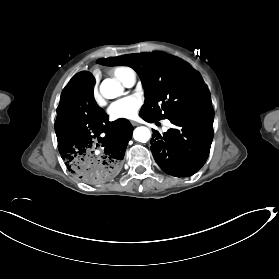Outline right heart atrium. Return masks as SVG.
I'll return each instance as SVG.
<instances>
[{
	"instance_id": "right-heart-atrium-1",
	"label": "right heart atrium",
	"mask_w": 279,
	"mask_h": 279,
	"mask_svg": "<svg viewBox=\"0 0 279 279\" xmlns=\"http://www.w3.org/2000/svg\"><path fill=\"white\" fill-rule=\"evenodd\" d=\"M93 96H94V98H95L96 100L99 98V93H98L97 88H94V89H93Z\"/></svg>"
}]
</instances>
